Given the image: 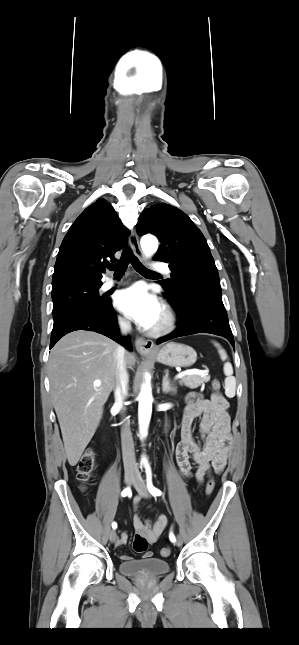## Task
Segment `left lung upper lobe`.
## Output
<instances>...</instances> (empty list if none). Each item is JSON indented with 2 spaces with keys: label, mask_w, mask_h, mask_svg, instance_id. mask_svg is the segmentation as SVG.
<instances>
[{
  "label": "left lung upper lobe",
  "mask_w": 299,
  "mask_h": 645,
  "mask_svg": "<svg viewBox=\"0 0 299 645\" xmlns=\"http://www.w3.org/2000/svg\"><path fill=\"white\" fill-rule=\"evenodd\" d=\"M136 229L139 235L151 233L161 242L154 258L168 262L172 271L171 279L160 281L167 293H178L198 281L219 280L204 235L178 208L156 203L142 212Z\"/></svg>",
  "instance_id": "left-lung-upper-lobe-1"
}]
</instances>
